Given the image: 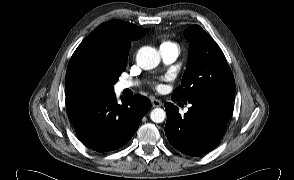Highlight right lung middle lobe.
<instances>
[{
    "label": "right lung middle lobe",
    "mask_w": 294,
    "mask_h": 180,
    "mask_svg": "<svg viewBox=\"0 0 294 180\" xmlns=\"http://www.w3.org/2000/svg\"><path fill=\"white\" fill-rule=\"evenodd\" d=\"M127 60L112 54L83 53L70 60L66 72L68 100L114 92Z\"/></svg>",
    "instance_id": "obj_1"
}]
</instances>
